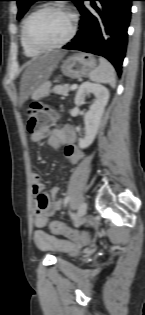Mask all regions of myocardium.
<instances>
[{"mask_svg": "<svg viewBox=\"0 0 145 315\" xmlns=\"http://www.w3.org/2000/svg\"><path fill=\"white\" fill-rule=\"evenodd\" d=\"M46 11H58V12L64 13L70 19V28H69L67 35L62 40H60L56 43H53V44H48V45L40 44V43L33 41L29 35V28H30V25H31L32 21L34 20V18L36 16H38L39 14L46 12ZM76 28H77V18L72 11H70L67 8L59 7L57 5L48 4V5H45L39 9L35 10L34 12H32L27 17L25 24H24L23 33H24L25 41L30 47L37 49V50H40V51H49V50L60 48L64 45H66L75 35Z\"/></svg>", "mask_w": 145, "mask_h": 315, "instance_id": "obj_1", "label": "myocardium"}]
</instances>
